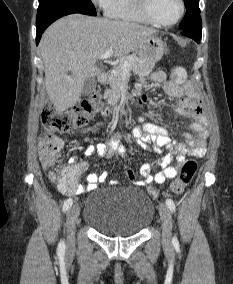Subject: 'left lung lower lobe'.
I'll use <instances>...</instances> for the list:
<instances>
[{
	"label": "left lung lower lobe",
	"instance_id": "1",
	"mask_svg": "<svg viewBox=\"0 0 233 284\" xmlns=\"http://www.w3.org/2000/svg\"><path fill=\"white\" fill-rule=\"evenodd\" d=\"M181 34L192 38L197 43H199V41L201 40V30L200 31L182 30Z\"/></svg>",
	"mask_w": 233,
	"mask_h": 284
}]
</instances>
